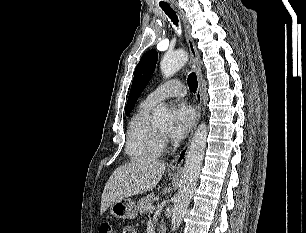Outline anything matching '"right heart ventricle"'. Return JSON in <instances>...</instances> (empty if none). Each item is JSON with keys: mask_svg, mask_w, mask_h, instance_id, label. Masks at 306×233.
<instances>
[{"mask_svg": "<svg viewBox=\"0 0 306 233\" xmlns=\"http://www.w3.org/2000/svg\"><path fill=\"white\" fill-rule=\"evenodd\" d=\"M155 106L144 100L129 122L126 153L133 160H151L162 153V136L151 121Z\"/></svg>", "mask_w": 306, "mask_h": 233, "instance_id": "obj_1", "label": "right heart ventricle"}]
</instances>
